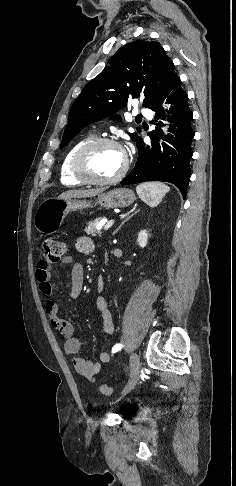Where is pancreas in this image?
Masks as SVG:
<instances>
[{
	"label": "pancreas",
	"mask_w": 236,
	"mask_h": 486,
	"mask_svg": "<svg viewBox=\"0 0 236 486\" xmlns=\"http://www.w3.org/2000/svg\"><path fill=\"white\" fill-rule=\"evenodd\" d=\"M102 219L103 218L99 217V218H96L94 221L89 222L88 227H86L84 229L85 233H87V235H91V236L100 235L101 234V230H98L97 229V225L99 224V222Z\"/></svg>",
	"instance_id": "1"
}]
</instances>
